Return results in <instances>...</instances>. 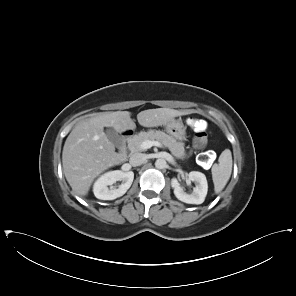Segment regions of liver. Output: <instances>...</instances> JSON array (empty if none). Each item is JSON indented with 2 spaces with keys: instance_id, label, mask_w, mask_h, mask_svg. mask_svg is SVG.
Here are the masks:
<instances>
[{
  "instance_id": "liver-1",
  "label": "liver",
  "mask_w": 296,
  "mask_h": 296,
  "mask_svg": "<svg viewBox=\"0 0 296 296\" xmlns=\"http://www.w3.org/2000/svg\"><path fill=\"white\" fill-rule=\"evenodd\" d=\"M192 113L191 110L156 108L141 111L137 120L143 127L164 126L175 117ZM129 111L105 112L77 124L68 135L62 152L63 173L73 192L87 195L94 179L124 158L115 152V144L104 132L113 127L118 133L135 130Z\"/></svg>"
}]
</instances>
